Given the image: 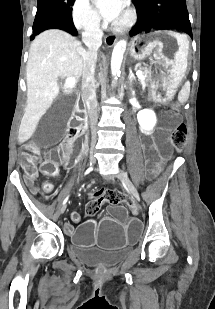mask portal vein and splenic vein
Wrapping results in <instances>:
<instances>
[{"mask_svg": "<svg viewBox=\"0 0 215 309\" xmlns=\"http://www.w3.org/2000/svg\"><path fill=\"white\" fill-rule=\"evenodd\" d=\"M136 74L138 78L144 80L145 76H143L142 70H137ZM65 84L66 86H74V84H76V78H65Z\"/></svg>", "mask_w": 215, "mask_h": 309, "instance_id": "portal-vein-and-splenic-vein-1", "label": "portal vein and splenic vein"}]
</instances>
